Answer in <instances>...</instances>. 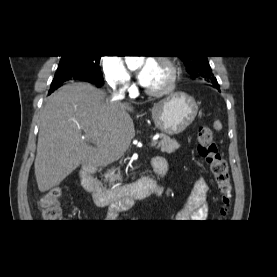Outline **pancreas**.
I'll return each instance as SVG.
<instances>
[{"mask_svg": "<svg viewBox=\"0 0 277 277\" xmlns=\"http://www.w3.org/2000/svg\"><path fill=\"white\" fill-rule=\"evenodd\" d=\"M160 138L161 141L158 143L157 148L160 149V151L163 153L171 154L180 147V144L175 139H171L170 137L165 135H161ZM105 178L107 181H109L111 185H114L115 181H122L119 169L116 174L114 169L109 170L105 174Z\"/></svg>", "mask_w": 277, "mask_h": 277, "instance_id": "cf45deb5", "label": "pancreas"}]
</instances>
